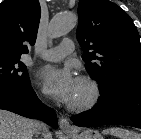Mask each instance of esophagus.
<instances>
[{
    "label": "esophagus",
    "instance_id": "obj_1",
    "mask_svg": "<svg viewBox=\"0 0 141 139\" xmlns=\"http://www.w3.org/2000/svg\"><path fill=\"white\" fill-rule=\"evenodd\" d=\"M59 127L63 132H70L74 130L73 126L70 124L68 119L65 117H61L59 119Z\"/></svg>",
    "mask_w": 141,
    "mask_h": 139
}]
</instances>
